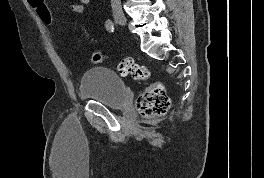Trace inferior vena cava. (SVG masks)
I'll return each instance as SVG.
<instances>
[{
	"mask_svg": "<svg viewBox=\"0 0 264 178\" xmlns=\"http://www.w3.org/2000/svg\"><path fill=\"white\" fill-rule=\"evenodd\" d=\"M111 6L114 13H122L121 0H111Z\"/></svg>",
	"mask_w": 264,
	"mask_h": 178,
	"instance_id": "inferior-vena-cava-1",
	"label": "inferior vena cava"
}]
</instances>
